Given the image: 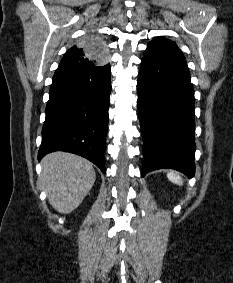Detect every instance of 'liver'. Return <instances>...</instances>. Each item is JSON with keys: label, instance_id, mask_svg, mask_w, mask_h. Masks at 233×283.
Returning a JSON list of instances; mask_svg holds the SVG:
<instances>
[{"label": "liver", "instance_id": "liver-1", "mask_svg": "<svg viewBox=\"0 0 233 283\" xmlns=\"http://www.w3.org/2000/svg\"><path fill=\"white\" fill-rule=\"evenodd\" d=\"M40 185L59 213L73 212L94 185L93 164L67 152L47 154L41 161Z\"/></svg>", "mask_w": 233, "mask_h": 283}]
</instances>
